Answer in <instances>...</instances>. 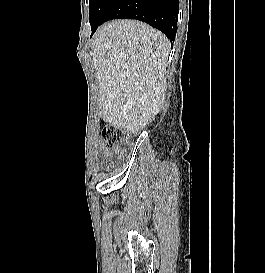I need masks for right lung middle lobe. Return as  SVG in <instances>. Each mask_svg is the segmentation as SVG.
<instances>
[{
  "label": "right lung middle lobe",
  "instance_id": "1",
  "mask_svg": "<svg viewBox=\"0 0 265 273\" xmlns=\"http://www.w3.org/2000/svg\"><path fill=\"white\" fill-rule=\"evenodd\" d=\"M113 0H90L89 21L91 28L99 26Z\"/></svg>",
  "mask_w": 265,
  "mask_h": 273
}]
</instances>
